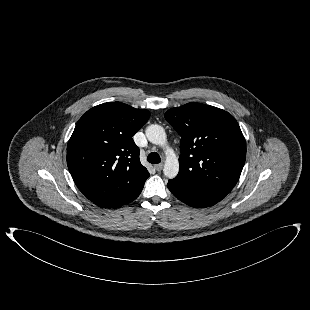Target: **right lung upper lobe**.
<instances>
[{
  "label": "right lung upper lobe",
  "mask_w": 310,
  "mask_h": 310,
  "mask_svg": "<svg viewBox=\"0 0 310 310\" xmlns=\"http://www.w3.org/2000/svg\"><path fill=\"white\" fill-rule=\"evenodd\" d=\"M150 112L120 102L88 110L67 146V165L79 190L102 208L125 205L138 197L147 169L140 163L132 137Z\"/></svg>",
  "instance_id": "1"
}]
</instances>
